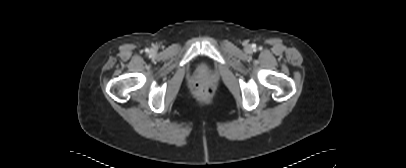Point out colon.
<instances>
[{"label":"colon","instance_id":"1","mask_svg":"<svg viewBox=\"0 0 406 168\" xmlns=\"http://www.w3.org/2000/svg\"><path fill=\"white\" fill-rule=\"evenodd\" d=\"M196 92L198 96L202 99H207L211 96V89L206 85L201 84L197 85Z\"/></svg>","mask_w":406,"mask_h":168}]
</instances>
